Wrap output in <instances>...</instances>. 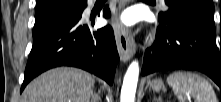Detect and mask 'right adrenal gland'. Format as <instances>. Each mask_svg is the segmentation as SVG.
<instances>
[{"label":"right adrenal gland","mask_w":221,"mask_h":102,"mask_svg":"<svg viewBox=\"0 0 221 102\" xmlns=\"http://www.w3.org/2000/svg\"><path fill=\"white\" fill-rule=\"evenodd\" d=\"M90 102H100V97L96 92L92 93Z\"/></svg>","instance_id":"obj_1"}]
</instances>
